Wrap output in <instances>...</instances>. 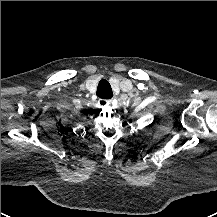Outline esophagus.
Listing matches in <instances>:
<instances>
[{
	"label": "esophagus",
	"instance_id": "34e87169",
	"mask_svg": "<svg viewBox=\"0 0 217 217\" xmlns=\"http://www.w3.org/2000/svg\"><path fill=\"white\" fill-rule=\"evenodd\" d=\"M99 104H102V105H108L111 103V100H107V99H100L98 101Z\"/></svg>",
	"mask_w": 217,
	"mask_h": 217
}]
</instances>
